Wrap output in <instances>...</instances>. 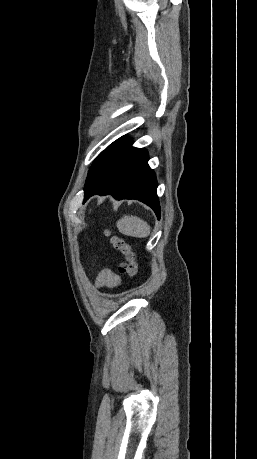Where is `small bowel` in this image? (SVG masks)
I'll use <instances>...</instances> for the list:
<instances>
[{
  "label": "small bowel",
  "mask_w": 257,
  "mask_h": 459,
  "mask_svg": "<svg viewBox=\"0 0 257 459\" xmlns=\"http://www.w3.org/2000/svg\"><path fill=\"white\" fill-rule=\"evenodd\" d=\"M120 285V278L109 268L99 269L96 279L95 286L97 288H108L113 289Z\"/></svg>",
  "instance_id": "1"
}]
</instances>
